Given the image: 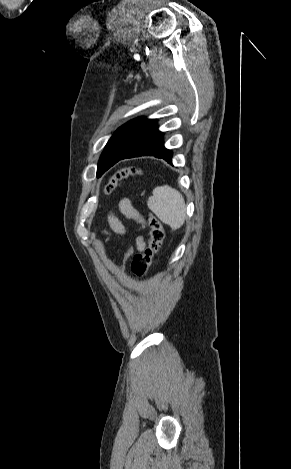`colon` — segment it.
<instances>
[{
	"label": "colon",
	"instance_id": "obj_1",
	"mask_svg": "<svg viewBox=\"0 0 291 469\" xmlns=\"http://www.w3.org/2000/svg\"><path fill=\"white\" fill-rule=\"evenodd\" d=\"M140 173L141 171L139 169L131 166L119 169L111 176L105 185L104 192L106 194H110L121 181ZM148 222L150 226V239L148 245L143 252L134 256L131 263V271L140 277L144 276L149 270L154 257L157 255L163 245L165 237L164 227L160 220H158L155 216L150 215Z\"/></svg>",
	"mask_w": 291,
	"mask_h": 469
}]
</instances>
